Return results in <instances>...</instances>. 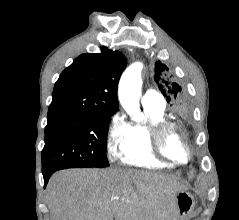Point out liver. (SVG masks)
Wrapping results in <instances>:
<instances>
[{"mask_svg": "<svg viewBox=\"0 0 239 220\" xmlns=\"http://www.w3.org/2000/svg\"><path fill=\"white\" fill-rule=\"evenodd\" d=\"M179 179L135 169H67L47 185L52 220H166L176 211Z\"/></svg>", "mask_w": 239, "mask_h": 220, "instance_id": "liver-1", "label": "liver"}]
</instances>
